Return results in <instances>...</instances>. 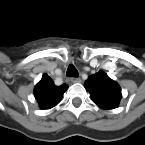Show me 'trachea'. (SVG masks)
<instances>
[{"mask_svg": "<svg viewBox=\"0 0 145 145\" xmlns=\"http://www.w3.org/2000/svg\"><path fill=\"white\" fill-rule=\"evenodd\" d=\"M67 76L68 77H78V71L77 69L74 67V65H69L68 69H67Z\"/></svg>", "mask_w": 145, "mask_h": 145, "instance_id": "1", "label": "trachea"}]
</instances>
